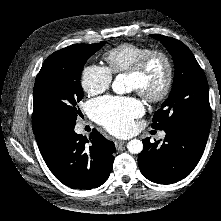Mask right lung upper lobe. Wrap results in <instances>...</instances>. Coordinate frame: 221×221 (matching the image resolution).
Returning a JSON list of instances; mask_svg holds the SVG:
<instances>
[{"label": "right lung upper lobe", "instance_id": "right-lung-upper-lobe-1", "mask_svg": "<svg viewBox=\"0 0 221 221\" xmlns=\"http://www.w3.org/2000/svg\"><path fill=\"white\" fill-rule=\"evenodd\" d=\"M32 125L34 134H37L47 128L50 124L40 115V113L36 109H34Z\"/></svg>", "mask_w": 221, "mask_h": 221}]
</instances>
